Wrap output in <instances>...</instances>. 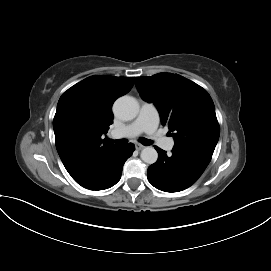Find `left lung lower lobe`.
I'll return each instance as SVG.
<instances>
[{"label": "left lung lower lobe", "instance_id": "0a47b994", "mask_svg": "<svg viewBox=\"0 0 271 271\" xmlns=\"http://www.w3.org/2000/svg\"><path fill=\"white\" fill-rule=\"evenodd\" d=\"M158 160L148 168V180L157 189L179 192L194 184L208 166L211 156L202 152L173 148L172 154L155 146Z\"/></svg>", "mask_w": 271, "mask_h": 271}]
</instances>
